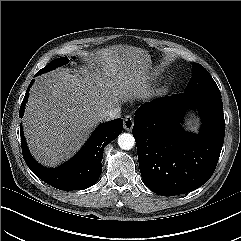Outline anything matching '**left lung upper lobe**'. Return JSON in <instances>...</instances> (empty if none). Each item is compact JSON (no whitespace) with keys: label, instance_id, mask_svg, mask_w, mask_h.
<instances>
[{"label":"left lung upper lobe","instance_id":"5c2ea615","mask_svg":"<svg viewBox=\"0 0 241 241\" xmlns=\"http://www.w3.org/2000/svg\"><path fill=\"white\" fill-rule=\"evenodd\" d=\"M210 91L220 93V90L209 74L199 63H193V75L184 92Z\"/></svg>","mask_w":241,"mask_h":241}]
</instances>
